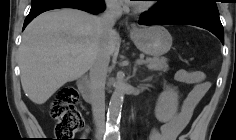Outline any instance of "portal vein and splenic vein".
Masks as SVG:
<instances>
[{"label":"portal vein and splenic vein","mask_w":236,"mask_h":140,"mask_svg":"<svg viewBox=\"0 0 236 140\" xmlns=\"http://www.w3.org/2000/svg\"><path fill=\"white\" fill-rule=\"evenodd\" d=\"M143 63H144V61H143L142 59H137V60H136V64L141 65V64H143Z\"/></svg>","instance_id":"obj_1"}]
</instances>
